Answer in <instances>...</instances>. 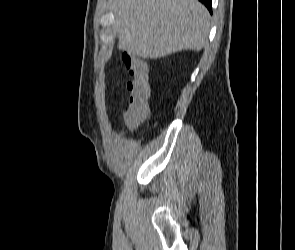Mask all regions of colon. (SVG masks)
<instances>
[{
    "label": "colon",
    "instance_id": "5ec220e1",
    "mask_svg": "<svg viewBox=\"0 0 295 250\" xmlns=\"http://www.w3.org/2000/svg\"><path fill=\"white\" fill-rule=\"evenodd\" d=\"M127 91L128 97L126 107L123 111V120L129 129H135L149 115L150 89L148 79L144 77H133L127 83Z\"/></svg>",
    "mask_w": 295,
    "mask_h": 250
}]
</instances>
